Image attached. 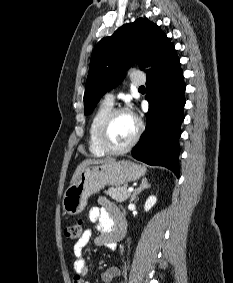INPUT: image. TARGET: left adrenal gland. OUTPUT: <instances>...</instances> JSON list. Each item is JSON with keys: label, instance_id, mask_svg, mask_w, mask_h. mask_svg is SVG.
Returning a JSON list of instances; mask_svg holds the SVG:
<instances>
[{"label": "left adrenal gland", "instance_id": "left-adrenal-gland-1", "mask_svg": "<svg viewBox=\"0 0 233 283\" xmlns=\"http://www.w3.org/2000/svg\"><path fill=\"white\" fill-rule=\"evenodd\" d=\"M150 186L151 185L148 183L146 178L142 179L139 187L133 192L130 202H133L138 194H140L143 190L150 188Z\"/></svg>", "mask_w": 233, "mask_h": 283}]
</instances>
